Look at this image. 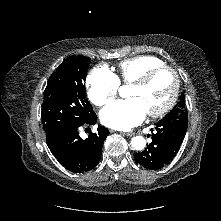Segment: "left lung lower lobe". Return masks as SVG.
Wrapping results in <instances>:
<instances>
[{"label":"left lung lower lobe","instance_id":"1","mask_svg":"<svg viewBox=\"0 0 221 221\" xmlns=\"http://www.w3.org/2000/svg\"><path fill=\"white\" fill-rule=\"evenodd\" d=\"M155 125L156 133L151 136L152 142L144 151L135 153L136 161L152 170L162 168L175 157L184 140L188 121L163 118Z\"/></svg>","mask_w":221,"mask_h":221}]
</instances>
